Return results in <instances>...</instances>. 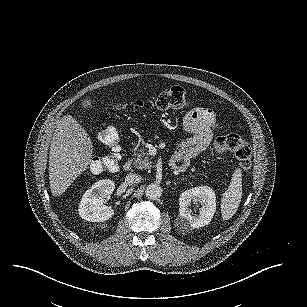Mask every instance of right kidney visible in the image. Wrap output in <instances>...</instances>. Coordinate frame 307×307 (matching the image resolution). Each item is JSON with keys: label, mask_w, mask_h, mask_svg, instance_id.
<instances>
[{"label": "right kidney", "mask_w": 307, "mask_h": 307, "mask_svg": "<svg viewBox=\"0 0 307 307\" xmlns=\"http://www.w3.org/2000/svg\"><path fill=\"white\" fill-rule=\"evenodd\" d=\"M115 182L111 179H101L92 184L87 189L78 207L79 216L90 222H103L111 218L114 214L109 206L102 205L103 197L113 193Z\"/></svg>", "instance_id": "ca27d5eb"}]
</instances>
